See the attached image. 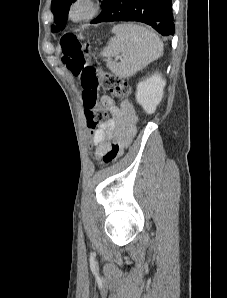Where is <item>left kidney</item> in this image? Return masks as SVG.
<instances>
[{"label":"left kidney","instance_id":"obj_1","mask_svg":"<svg viewBox=\"0 0 227 298\" xmlns=\"http://www.w3.org/2000/svg\"><path fill=\"white\" fill-rule=\"evenodd\" d=\"M166 81L159 73L140 81L137 85L136 100L148 114L155 112L161 102Z\"/></svg>","mask_w":227,"mask_h":298}]
</instances>
